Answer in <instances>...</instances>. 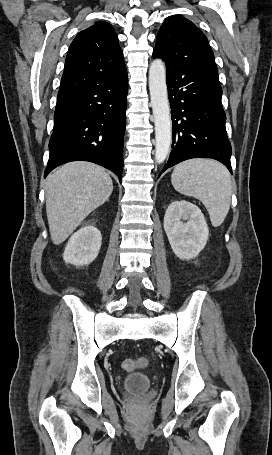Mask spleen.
I'll return each mask as SVG.
<instances>
[{
	"label": "spleen",
	"instance_id": "3e777b00",
	"mask_svg": "<svg viewBox=\"0 0 272 455\" xmlns=\"http://www.w3.org/2000/svg\"><path fill=\"white\" fill-rule=\"evenodd\" d=\"M171 182L179 193L205 205L214 227L223 223L232 194L230 173L224 165L210 159L187 160L174 168Z\"/></svg>",
	"mask_w": 272,
	"mask_h": 455
}]
</instances>
